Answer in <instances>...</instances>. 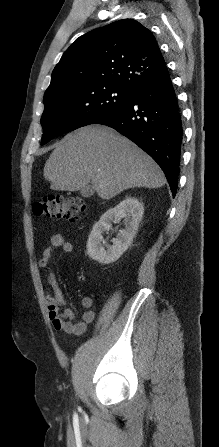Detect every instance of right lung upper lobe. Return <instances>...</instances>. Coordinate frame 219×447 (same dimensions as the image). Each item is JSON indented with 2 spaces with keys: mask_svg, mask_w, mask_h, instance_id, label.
I'll return each mask as SVG.
<instances>
[{
  "mask_svg": "<svg viewBox=\"0 0 219 447\" xmlns=\"http://www.w3.org/2000/svg\"><path fill=\"white\" fill-rule=\"evenodd\" d=\"M169 75L155 37L133 19H123L80 36L52 72L44 96L87 92L115 85L135 94Z\"/></svg>",
  "mask_w": 219,
  "mask_h": 447,
  "instance_id": "cb5924a9",
  "label": "right lung upper lobe"
}]
</instances>
